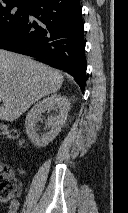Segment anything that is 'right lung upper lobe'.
<instances>
[{
    "label": "right lung upper lobe",
    "mask_w": 128,
    "mask_h": 213,
    "mask_svg": "<svg viewBox=\"0 0 128 213\" xmlns=\"http://www.w3.org/2000/svg\"><path fill=\"white\" fill-rule=\"evenodd\" d=\"M36 0H0V6L18 4V5H27L30 6Z\"/></svg>",
    "instance_id": "right-lung-upper-lobe-1"
}]
</instances>
